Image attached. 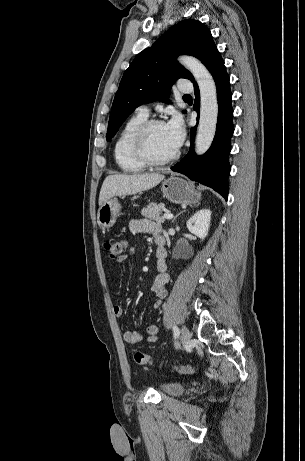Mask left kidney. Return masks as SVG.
<instances>
[{
	"label": "left kidney",
	"instance_id": "1",
	"mask_svg": "<svg viewBox=\"0 0 305 461\" xmlns=\"http://www.w3.org/2000/svg\"><path fill=\"white\" fill-rule=\"evenodd\" d=\"M210 221L211 211L209 209H202L188 220L187 228L192 234L203 240L208 234Z\"/></svg>",
	"mask_w": 305,
	"mask_h": 461
}]
</instances>
